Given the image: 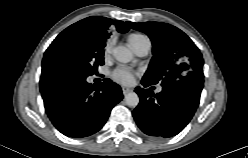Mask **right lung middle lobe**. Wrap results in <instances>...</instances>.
<instances>
[{"mask_svg": "<svg viewBox=\"0 0 248 158\" xmlns=\"http://www.w3.org/2000/svg\"><path fill=\"white\" fill-rule=\"evenodd\" d=\"M104 46L87 40L69 26L51 43L44 54L41 77L69 76L86 79L104 64Z\"/></svg>", "mask_w": 248, "mask_h": 158, "instance_id": "obj_1", "label": "right lung middle lobe"}]
</instances>
